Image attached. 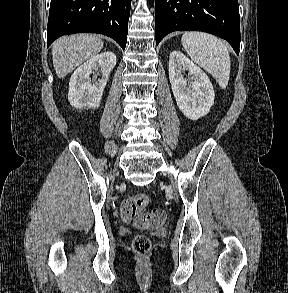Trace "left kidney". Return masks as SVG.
Segmentation results:
<instances>
[{"instance_id": "obj_1", "label": "left kidney", "mask_w": 288, "mask_h": 293, "mask_svg": "<svg viewBox=\"0 0 288 293\" xmlns=\"http://www.w3.org/2000/svg\"><path fill=\"white\" fill-rule=\"evenodd\" d=\"M185 71H188V80L182 74ZM169 80L176 103L187 118L197 120L208 114L215 98L212 84L208 76L179 51L170 53Z\"/></svg>"}]
</instances>
